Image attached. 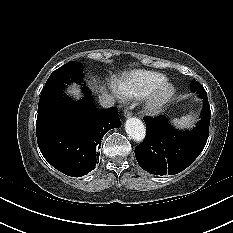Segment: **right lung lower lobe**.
<instances>
[{
	"mask_svg": "<svg viewBox=\"0 0 233 233\" xmlns=\"http://www.w3.org/2000/svg\"><path fill=\"white\" fill-rule=\"evenodd\" d=\"M85 99L67 101L59 108L37 117L36 134L44 158L57 170L81 177L99 162L101 139L121 126L118 109L95 107L87 88Z\"/></svg>",
	"mask_w": 233,
	"mask_h": 233,
	"instance_id": "obj_1",
	"label": "right lung lower lobe"
}]
</instances>
